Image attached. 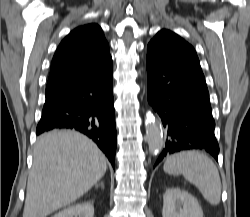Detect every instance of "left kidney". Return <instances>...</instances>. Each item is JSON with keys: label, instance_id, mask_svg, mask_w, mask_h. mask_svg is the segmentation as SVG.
<instances>
[{"label": "left kidney", "instance_id": "1", "mask_svg": "<svg viewBox=\"0 0 250 217\" xmlns=\"http://www.w3.org/2000/svg\"><path fill=\"white\" fill-rule=\"evenodd\" d=\"M163 217H203L198 200L180 188H168L163 195Z\"/></svg>", "mask_w": 250, "mask_h": 217}]
</instances>
